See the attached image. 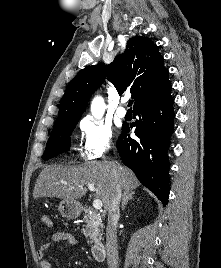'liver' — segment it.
<instances>
[{"instance_id":"1","label":"liver","mask_w":221,"mask_h":268,"mask_svg":"<svg viewBox=\"0 0 221 268\" xmlns=\"http://www.w3.org/2000/svg\"><path fill=\"white\" fill-rule=\"evenodd\" d=\"M115 169L118 183L124 191H132L140 183L134 173L126 166L111 161H96L82 166H46L36 181L33 197H56L76 201L83 197L86 184L95 185V196L102 201L105 210L110 204Z\"/></svg>"}]
</instances>
